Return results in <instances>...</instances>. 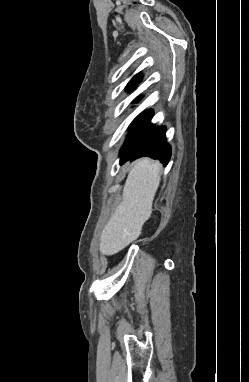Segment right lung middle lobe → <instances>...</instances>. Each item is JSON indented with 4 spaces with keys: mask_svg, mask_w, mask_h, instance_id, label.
I'll return each instance as SVG.
<instances>
[{
    "mask_svg": "<svg viewBox=\"0 0 249 382\" xmlns=\"http://www.w3.org/2000/svg\"><path fill=\"white\" fill-rule=\"evenodd\" d=\"M148 111H149V110H148ZM148 111H146V113H147ZM146 113H145V114H146ZM145 114H144V115H145ZM144 115H142V117H143ZM142 117H141V118H142ZM141 118L136 119V120H135V123L138 122ZM135 123H133V125H134Z\"/></svg>",
    "mask_w": 249,
    "mask_h": 382,
    "instance_id": "right-lung-middle-lobe-1",
    "label": "right lung middle lobe"
}]
</instances>
